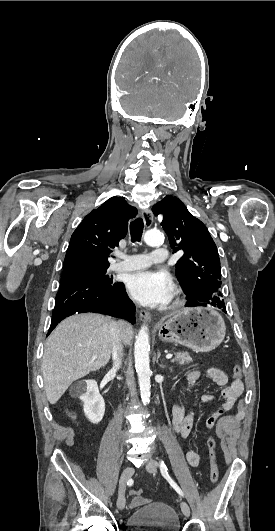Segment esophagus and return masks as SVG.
<instances>
[{
    "label": "esophagus",
    "instance_id": "34e87169",
    "mask_svg": "<svg viewBox=\"0 0 275 531\" xmlns=\"http://www.w3.org/2000/svg\"><path fill=\"white\" fill-rule=\"evenodd\" d=\"M143 221L145 223V227L149 228L153 223V213L150 209H145L142 212ZM139 317L141 321H150L151 315L148 311L141 310L139 313Z\"/></svg>",
    "mask_w": 275,
    "mask_h": 531
}]
</instances>
